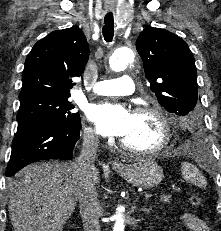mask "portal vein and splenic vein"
Wrapping results in <instances>:
<instances>
[{"instance_id":"obj_1","label":"portal vein and splenic vein","mask_w":221,"mask_h":231,"mask_svg":"<svg viewBox=\"0 0 221 231\" xmlns=\"http://www.w3.org/2000/svg\"><path fill=\"white\" fill-rule=\"evenodd\" d=\"M144 196H145L146 199H149V198H151L153 195H152L151 193H148V194H145Z\"/></svg>"}]
</instances>
